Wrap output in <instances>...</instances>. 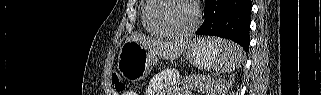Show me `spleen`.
Returning a JSON list of instances; mask_svg holds the SVG:
<instances>
[{
	"instance_id": "1",
	"label": "spleen",
	"mask_w": 321,
	"mask_h": 95,
	"mask_svg": "<svg viewBox=\"0 0 321 95\" xmlns=\"http://www.w3.org/2000/svg\"><path fill=\"white\" fill-rule=\"evenodd\" d=\"M223 44V52L216 62L214 68L219 73L234 71L239 68L243 60V51L239 45L228 40H217Z\"/></svg>"
}]
</instances>
